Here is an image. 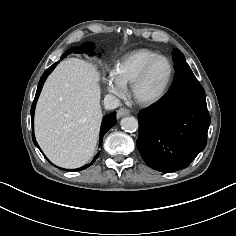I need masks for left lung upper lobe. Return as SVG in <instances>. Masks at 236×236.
Listing matches in <instances>:
<instances>
[{
	"label": "left lung upper lobe",
	"instance_id": "left-lung-upper-lobe-1",
	"mask_svg": "<svg viewBox=\"0 0 236 236\" xmlns=\"http://www.w3.org/2000/svg\"><path fill=\"white\" fill-rule=\"evenodd\" d=\"M173 60H174V64H175L174 65L175 70H178V69H181L184 67H189L185 61L184 55L178 49L173 50Z\"/></svg>",
	"mask_w": 236,
	"mask_h": 236
}]
</instances>
